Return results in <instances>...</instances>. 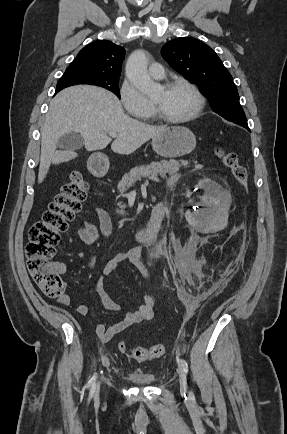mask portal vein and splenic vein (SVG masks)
Listing matches in <instances>:
<instances>
[{
    "label": "portal vein and splenic vein",
    "mask_w": 287,
    "mask_h": 434,
    "mask_svg": "<svg viewBox=\"0 0 287 434\" xmlns=\"http://www.w3.org/2000/svg\"><path fill=\"white\" fill-rule=\"evenodd\" d=\"M109 135H110L111 137H113V138H116V137H117V133H115V132H110ZM148 185H149L148 183H144V184L142 185V187H146V186H148Z\"/></svg>",
    "instance_id": "obj_1"
}]
</instances>
